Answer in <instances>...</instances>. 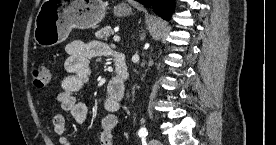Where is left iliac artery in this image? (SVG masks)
<instances>
[{
    "label": "left iliac artery",
    "mask_w": 276,
    "mask_h": 145,
    "mask_svg": "<svg viewBox=\"0 0 276 145\" xmlns=\"http://www.w3.org/2000/svg\"><path fill=\"white\" fill-rule=\"evenodd\" d=\"M139 137L145 138L148 135V131L145 127H141L138 132Z\"/></svg>",
    "instance_id": "44dca946"
}]
</instances>
